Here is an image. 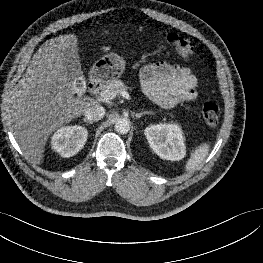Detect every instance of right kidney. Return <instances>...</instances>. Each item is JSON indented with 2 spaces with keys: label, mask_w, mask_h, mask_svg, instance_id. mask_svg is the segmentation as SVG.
<instances>
[{
  "label": "right kidney",
  "mask_w": 263,
  "mask_h": 263,
  "mask_svg": "<svg viewBox=\"0 0 263 263\" xmlns=\"http://www.w3.org/2000/svg\"><path fill=\"white\" fill-rule=\"evenodd\" d=\"M88 131L85 127L74 125L58 129L52 137V149L64 158L76 155L85 145Z\"/></svg>",
  "instance_id": "ca27d5eb"
}]
</instances>
